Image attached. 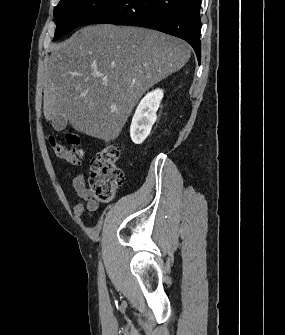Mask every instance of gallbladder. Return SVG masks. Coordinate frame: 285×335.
I'll return each mask as SVG.
<instances>
[{
	"instance_id": "gallbladder-1",
	"label": "gallbladder",
	"mask_w": 285,
	"mask_h": 335,
	"mask_svg": "<svg viewBox=\"0 0 285 335\" xmlns=\"http://www.w3.org/2000/svg\"><path fill=\"white\" fill-rule=\"evenodd\" d=\"M52 126L54 130H57V132H61V130H65L66 128V122L65 120H63V118L57 116V118H54V120H52Z\"/></svg>"
}]
</instances>
